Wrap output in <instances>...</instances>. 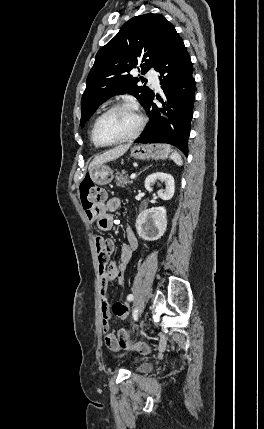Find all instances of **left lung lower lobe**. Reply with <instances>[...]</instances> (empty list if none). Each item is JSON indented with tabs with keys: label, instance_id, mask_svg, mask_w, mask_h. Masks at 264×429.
<instances>
[{
	"label": "left lung lower lobe",
	"instance_id": "obj_1",
	"mask_svg": "<svg viewBox=\"0 0 264 429\" xmlns=\"http://www.w3.org/2000/svg\"><path fill=\"white\" fill-rule=\"evenodd\" d=\"M155 70L161 74L160 84L166 100L158 108L152 94L145 105L150 117L137 143H168L188 154L187 143L193 117L195 80L193 66L184 43L172 29L157 60Z\"/></svg>",
	"mask_w": 264,
	"mask_h": 429
}]
</instances>
